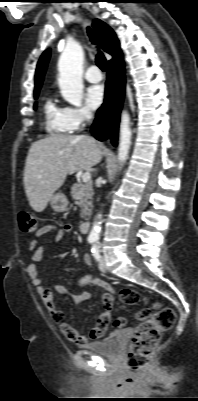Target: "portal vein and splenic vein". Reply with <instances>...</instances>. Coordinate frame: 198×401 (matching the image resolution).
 Here are the masks:
<instances>
[{
    "instance_id": "18ae733b",
    "label": "portal vein and splenic vein",
    "mask_w": 198,
    "mask_h": 401,
    "mask_svg": "<svg viewBox=\"0 0 198 401\" xmlns=\"http://www.w3.org/2000/svg\"><path fill=\"white\" fill-rule=\"evenodd\" d=\"M90 179H91V174H90L89 172H85V173L82 175V181H83L84 183L89 182Z\"/></svg>"
}]
</instances>
